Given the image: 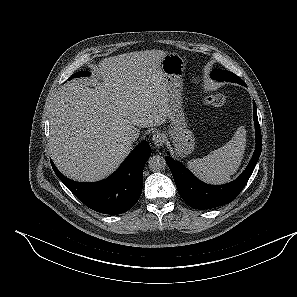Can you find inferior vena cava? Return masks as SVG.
I'll return each instance as SVG.
<instances>
[{"label":"inferior vena cava","instance_id":"1","mask_svg":"<svg viewBox=\"0 0 297 297\" xmlns=\"http://www.w3.org/2000/svg\"><path fill=\"white\" fill-rule=\"evenodd\" d=\"M140 135V130L138 128H129L125 134L126 141L134 142Z\"/></svg>","mask_w":297,"mask_h":297}]
</instances>
